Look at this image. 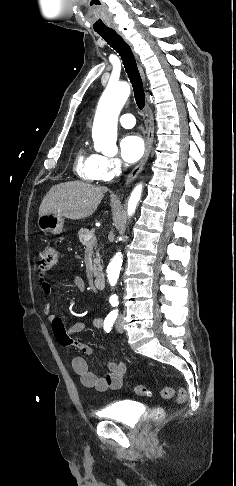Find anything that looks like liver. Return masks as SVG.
<instances>
[{"mask_svg":"<svg viewBox=\"0 0 236 486\" xmlns=\"http://www.w3.org/2000/svg\"><path fill=\"white\" fill-rule=\"evenodd\" d=\"M105 187L74 181L54 185L39 207V216L56 214L72 220L91 216L101 202Z\"/></svg>","mask_w":236,"mask_h":486,"instance_id":"liver-1","label":"liver"}]
</instances>
